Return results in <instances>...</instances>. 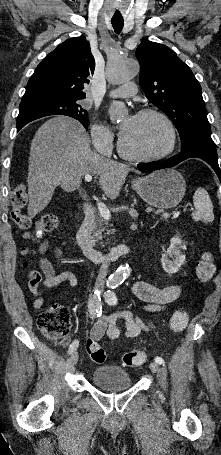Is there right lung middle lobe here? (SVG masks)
I'll return each mask as SVG.
<instances>
[{"label": "right lung middle lobe", "mask_w": 221, "mask_h": 455, "mask_svg": "<svg viewBox=\"0 0 221 455\" xmlns=\"http://www.w3.org/2000/svg\"><path fill=\"white\" fill-rule=\"evenodd\" d=\"M17 128L28 122L49 115H66L80 121L88 129V115L78 103V99L43 102L19 107Z\"/></svg>", "instance_id": "obj_1"}]
</instances>
